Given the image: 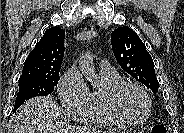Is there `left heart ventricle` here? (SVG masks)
<instances>
[{"label":"left heart ventricle","mask_w":184,"mask_h":133,"mask_svg":"<svg viewBox=\"0 0 184 133\" xmlns=\"http://www.w3.org/2000/svg\"><path fill=\"white\" fill-rule=\"evenodd\" d=\"M119 110L127 118L140 119L147 110L146 100L135 88H128L119 97Z\"/></svg>","instance_id":"left-heart-ventricle-1"}]
</instances>
